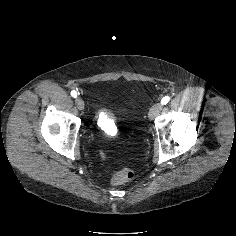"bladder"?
<instances>
[{
	"label": "bladder",
	"mask_w": 236,
	"mask_h": 236,
	"mask_svg": "<svg viewBox=\"0 0 236 236\" xmlns=\"http://www.w3.org/2000/svg\"><path fill=\"white\" fill-rule=\"evenodd\" d=\"M97 126L104 133H110L113 128V122L110 119L109 115L102 111L97 117Z\"/></svg>",
	"instance_id": "31cf9c89"
}]
</instances>
